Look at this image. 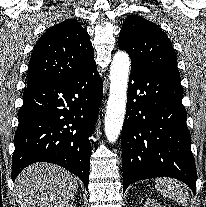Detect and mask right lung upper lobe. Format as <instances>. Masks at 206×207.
<instances>
[{
  "label": "right lung upper lobe",
  "mask_w": 206,
  "mask_h": 207,
  "mask_svg": "<svg viewBox=\"0 0 206 207\" xmlns=\"http://www.w3.org/2000/svg\"><path fill=\"white\" fill-rule=\"evenodd\" d=\"M89 35L74 19L52 26L36 43L28 67L27 87L75 77L92 66Z\"/></svg>",
  "instance_id": "cb5924a9"
}]
</instances>
